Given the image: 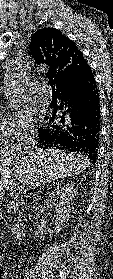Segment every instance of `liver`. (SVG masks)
Wrapping results in <instances>:
<instances>
[{
  "label": "liver",
  "instance_id": "liver-1",
  "mask_svg": "<svg viewBox=\"0 0 113 279\" xmlns=\"http://www.w3.org/2000/svg\"><path fill=\"white\" fill-rule=\"evenodd\" d=\"M89 165L88 157L73 152L6 146L0 150V191L11 186L14 180L24 186L46 185L60 178L78 175Z\"/></svg>",
  "mask_w": 113,
  "mask_h": 279
}]
</instances>
